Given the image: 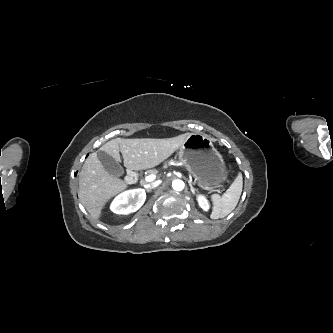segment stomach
<instances>
[{
	"mask_svg": "<svg viewBox=\"0 0 333 333\" xmlns=\"http://www.w3.org/2000/svg\"><path fill=\"white\" fill-rule=\"evenodd\" d=\"M179 159L205 189L218 188L227 178L223 157L206 134H190L179 149Z\"/></svg>",
	"mask_w": 333,
	"mask_h": 333,
	"instance_id": "0dacf381",
	"label": "stomach"
}]
</instances>
